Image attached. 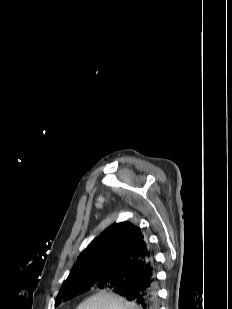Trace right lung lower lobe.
<instances>
[{
    "mask_svg": "<svg viewBox=\"0 0 232 309\" xmlns=\"http://www.w3.org/2000/svg\"><path fill=\"white\" fill-rule=\"evenodd\" d=\"M130 267L131 269L123 273L126 282L117 285L111 282L109 285H101L100 288L112 289L140 309H158L157 279L153 256L145 261L140 269L135 265H130Z\"/></svg>",
    "mask_w": 232,
    "mask_h": 309,
    "instance_id": "right-lung-lower-lobe-1",
    "label": "right lung lower lobe"
}]
</instances>
